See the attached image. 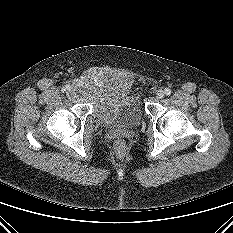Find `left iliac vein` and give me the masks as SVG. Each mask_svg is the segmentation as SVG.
<instances>
[{
  "instance_id": "obj_1",
  "label": "left iliac vein",
  "mask_w": 233,
  "mask_h": 233,
  "mask_svg": "<svg viewBox=\"0 0 233 233\" xmlns=\"http://www.w3.org/2000/svg\"><path fill=\"white\" fill-rule=\"evenodd\" d=\"M164 96V91L163 90H158L156 93V98L157 99H162Z\"/></svg>"
}]
</instances>
